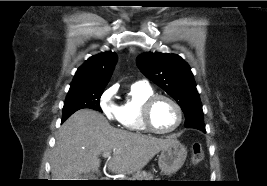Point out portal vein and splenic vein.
Instances as JSON below:
<instances>
[{"label":"portal vein and splenic vein","mask_w":267,"mask_h":186,"mask_svg":"<svg viewBox=\"0 0 267 186\" xmlns=\"http://www.w3.org/2000/svg\"><path fill=\"white\" fill-rule=\"evenodd\" d=\"M102 156H103L104 158H108V157L111 156V152H104V153L102 154Z\"/></svg>","instance_id":"1"}]
</instances>
